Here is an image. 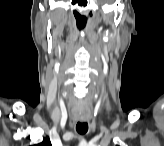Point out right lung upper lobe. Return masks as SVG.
<instances>
[{
    "instance_id": "1",
    "label": "right lung upper lobe",
    "mask_w": 164,
    "mask_h": 146,
    "mask_svg": "<svg viewBox=\"0 0 164 146\" xmlns=\"http://www.w3.org/2000/svg\"><path fill=\"white\" fill-rule=\"evenodd\" d=\"M38 146H51L49 138L44 139L42 143L38 144Z\"/></svg>"
}]
</instances>
